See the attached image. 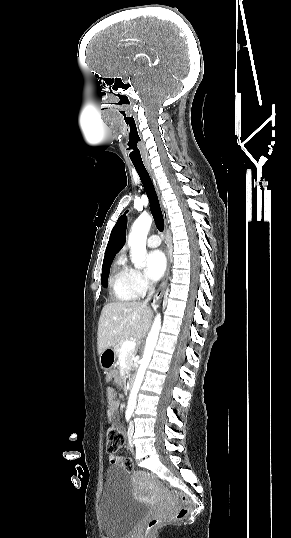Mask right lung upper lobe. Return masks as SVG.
I'll return each mask as SVG.
<instances>
[{
    "instance_id": "cb5924a9",
    "label": "right lung upper lobe",
    "mask_w": 291,
    "mask_h": 538,
    "mask_svg": "<svg viewBox=\"0 0 291 538\" xmlns=\"http://www.w3.org/2000/svg\"><path fill=\"white\" fill-rule=\"evenodd\" d=\"M126 240V218L121 216L114 226L106 248L104 261L113 259L121 250ZM103 261V262H104Z\"/></svg>"
}]
</instances>
